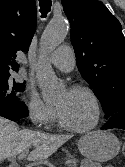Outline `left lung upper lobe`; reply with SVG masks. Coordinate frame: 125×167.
Wrapping results in <instances>:
<instances>
[{
    "label": "left lung upper lobe",
    "instance_id": "obj_1",
    "mask_svg": "<svg viewBox=\"0 0 125 167\" xmlns=\"http://www.w3.org/2000/svg\"><path fill=\"white\" fill-rule=\"evenodd\" d=\"M70 21L77 67L95 90L105 119L125 111V37L118 19L97 0H61Z\"/></svg>",
    "mask_w": 125,
    "mask_h": 167
}]
</instances>
